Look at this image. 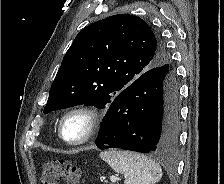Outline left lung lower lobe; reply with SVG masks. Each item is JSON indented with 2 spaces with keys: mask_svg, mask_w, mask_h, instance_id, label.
Instances as JSON below:
<instances>
[{
  "mask_svg": "<svg viewBox=\"0 0 224 184\" xmlns=\"http://www.w3.org/2000/svg\"><path fill=\"white\" fill-rule=\"evenodd\" d=\"M170 71V65L154 67L113 99L96 139L99 149L167 153L176 147L179 88Z\"/></svg>",
  "mask_w": 224,
  "mask_h": 184,
  "instance_id": "obj_1",
  "label": "left lung lower lobe"
}]
</instances>
